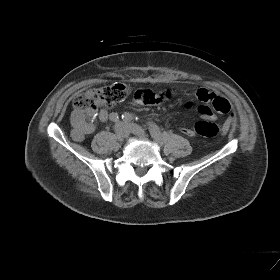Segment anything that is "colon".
<instances>
[{"mask_svg":"<svg viewBox=\"0 0 280 280\" xmlns=\"http://www.w3.org/2000/svg\"><path fill=\"white\" fill-rule=\"evenodd\" d=\"M130 94L128 85L118 82L100 88H93L78 94L73 105L76 110L93 117L101 107H112L124 101ZM194 132L204 137H214L224 132L223 127L209 120L198 121Z\"/></svg>","mask_w":280,"mask_h":280,"instance_id":"obj_1","label":"colon"}]
</instances>
